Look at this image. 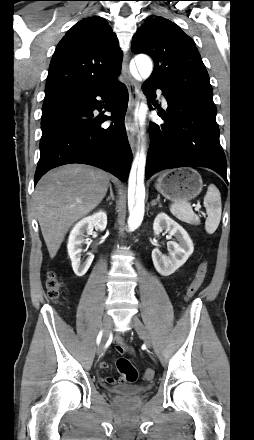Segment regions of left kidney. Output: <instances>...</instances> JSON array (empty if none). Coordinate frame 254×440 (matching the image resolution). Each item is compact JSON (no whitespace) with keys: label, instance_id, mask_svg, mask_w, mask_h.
Returning a JSON list of instances; mask_svg holds the SVG:
<instances>
[{"label":"left kidney","instance_id":"left-kidney-1","mask_svg":"<svg viewBox=\"0 0 254 440\" xmlns=\"http://www.w3.org/2000/svg\"><path fill=\"white\" fill-rule=\"evenodd\" d=\"M153 230L155 235L165 230L177 239V242H169L171 249L169 256L162 255L158 248L152 251V260L157 272L163 276H169L180 268L193 253V242L185 229L165 213H159L156 216Z\"/></svg>","mask_w":254,"mask_h":440}]
</instances>
